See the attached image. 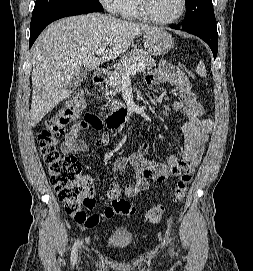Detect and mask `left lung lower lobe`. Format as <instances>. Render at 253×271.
Instances as JSON below:
<instances>
[{
    "instance_id": "1",
    "label": "left lung lower lobe",
    "mask_w": 253,
    "mask_h": 271,
    "mask_svg": "<svg viewBox=\"0 0 253 271\" xmlns=\"http://www.w3.org/2000/svg\"><path fill=\"white\" fill-rule=\"evenodd\" d=\"M172 28L179 29L177 26H172ZM182 30L196 35L204 40L210 46L214 55V59L216 58L218 51V33L216 24H205L192 28L182 27Z\"/></svg>"
}]
</instances>
